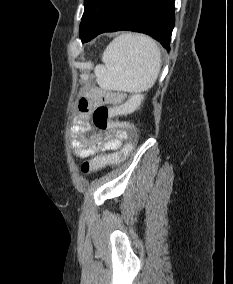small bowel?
Returning a JSON list of instances; mask_svg holds the SVG:
<instances>
[{
  "label": "small bowel",
  "mask_w": 233,
  "mask_h": 284,
  "mask_svg": "<svg viewBox=\"0 0 233 284\" xmlns=\"http://www.w3.org/2000/svg\"><path fill=\"white\" fill-rule=\"evenodd\" d=\"M125 95L120 92L93 88L80 99L78 113L72 127V148L76 157L85 159L103 152L118 149L128 134V128L133 125L122 123V127L108 130L105 134L92 132L90 115L101 105L117 107L122 104Z\"/></svg>",
  "instance_id": "obj_1"
}]
</instances>
